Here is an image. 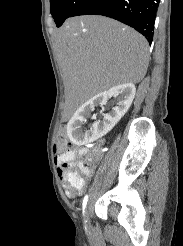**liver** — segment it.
Instances as JSON below:
<instances>
[{"mask_svg":"<svg viewBox=\"0 0 183 246\" xmlns=\"http://www.w3.org/2000/svg\"><path fill=\"white\" fill-rule=\"evenodd\" d=\"M54 46L70 106L117 85L139 83L147 72L146 39L107 17L66 20L54 34Z\"/></svg>","mask_w":183,"mask_h":246,"instance_id":"liver-1","label":"liver"}]
</instances>
